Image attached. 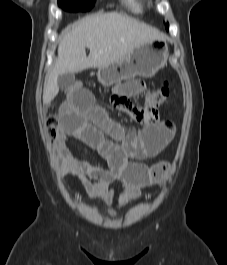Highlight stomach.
Returning a JSON list of instances; mask_svg holds the SVG:
<instances>
[{
    "label": "stomach",
    "mask_w": 227,
    "mask_h": 265,
    "mask_svg": "<svg viewBox=\"0 0 227 265\" xmlns=\"http://www.w3.org/2000/svg\"><path fill=\"white\" fill-rule=\"evenodd\" d=\"M167 56V44L152 40L136 46L121 61L99 68L97 77L107 87L135 76L150 78L166 65Z\"/></svg>",
    "instance_id": "1"
}]
</instances>
